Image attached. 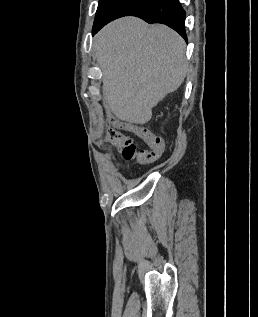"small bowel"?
<instances>
[{"mask_svg": "<svg viewBox=\"0 0 258 317\" xmlns=\"http://www.w3.org/2000/svg\"><path fill=\"white\" fill-rule=\"evenodd\" d=\"M113 124L118 128L135 133L150 147L151 150L158 151L160 156L166 149V143L161 137L141 125L118 119Z\"/></svg>", "mask_w": 258, "mask_h": 317, "instance_id": "1", "label": "small bowel"}]
</instances>
